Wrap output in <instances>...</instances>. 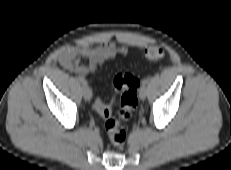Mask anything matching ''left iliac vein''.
Returning a JSON list of instances; mask_svg holds the SVG:
<instances>
[{
    "instance_id": "left-iliac-vein-1",
    "label": "left iliac vein",
    "mask_w": 231,
    "mask_h": 170,
    "mask_svg": "<svg viewBox=\"0 0 231 170\" xmlns=\"http://www.w3.org/2000/svg\"><path fill=\"white\" fill-rule=\"evenodd\" d=\"M147 95L146 85H141L139 90V97L141 100H144Z\"/></svg>"
}]
</instances>
